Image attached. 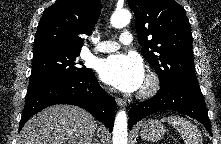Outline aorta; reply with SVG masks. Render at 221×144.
<instances>
[{"mask_svg":"<svg viewBox=\"0 0 221 144\" xmlns=\"http://www.w3.org/2000/svg\"><path fill=\"white\" fill-rule=\"evenodd\" d=\"M131 13L129 10L115 11L111 16V25L114 28H123L129 24ZM127 114L124 110H120L114 122L113 128V144H127Z\"/></svg>","mask_w":221,"mask_h":144,"instance_id":"1","label":"aorta"}]
</instances>
